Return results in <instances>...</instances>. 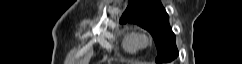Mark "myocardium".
<instances>
[{"mask_svg": "<svg viewBox=\"0 0 242 64\" xmlns=\"http://www.w3.org/2000/svg\"><path fill=\"white\" fill-rule=\"evenodd\" d=\"M135 39L139 48H145L150 44V37L146 33H137Z\"/></svg>", "mask_w": 242, "mask_h": 64, "instance_id": "f54148a6", "label": "myocardium"}]
</instances>
